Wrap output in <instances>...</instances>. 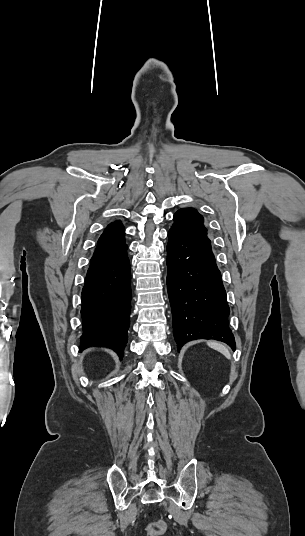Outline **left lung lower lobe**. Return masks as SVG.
<instances>
[{"mask_svg": "<svg viewBox=\"0 0 305 536\" xmlns=\"http://www.w3.org/2000/svg\"><path fill=\"white\" fill-rule=\"evenodd\" d=\"M167 287L178 349L195 339H214L235 350L229 306L210 242L170 229Z\"/></svg>", "mask_w": 305, "mask_h": 536, "instance_id": "1", "label": "left lung lower lobe"}]
</instances>
